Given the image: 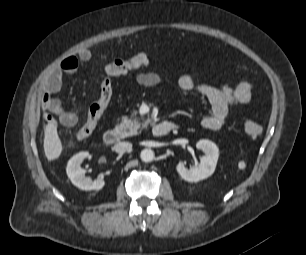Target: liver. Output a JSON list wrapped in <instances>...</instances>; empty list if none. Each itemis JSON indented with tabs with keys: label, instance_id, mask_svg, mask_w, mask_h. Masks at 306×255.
I'll return each instance as SVG.
<instances>
[{
	"label": "liver",
	"instance_id": "obj_1",
	"mask_svg": "<svg viewBox=\"0 0 306 255\" xmlns=\"http://www.w3.org/2000/svg\"><path fill=\"white\" fill-rule=\"evenodd\" d=\"M43 147L45 156L49 161L58 159L63 151L55 120L49 121L45 127Z\"/></svg>",
	"mask_w": 306,
	"mask_h": 255
}]
</instances>
